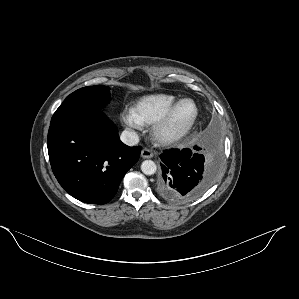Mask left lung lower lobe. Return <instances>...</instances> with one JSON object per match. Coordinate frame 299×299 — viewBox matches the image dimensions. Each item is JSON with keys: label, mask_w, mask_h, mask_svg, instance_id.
<instances>
[{"label": "left lung lower lobe", "mask_w": 299, "mask_h": 299, "mask_svg": "<svg viewBox=\"0 0 299 299\" xmlns=\"http://www.w3.org/2000/svg\"><path fill=\"white\" fill-rule=\"evenodd\" d=\"M162 173L157 191L166 200L185 203L201 195L214 181L220 164L219 145L170 149L160 155Z\"/></svg>", "instance_id": "obj_1"}]
</instances>
